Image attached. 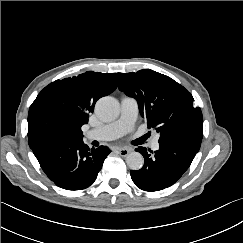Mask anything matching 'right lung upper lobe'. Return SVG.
<instances>
[{
	"instance_id": "right-lung-upper-lobe-1",
	"label": "right lung upper lobe",
	"mask_w": 243,
	"mask_h": 243,
	"mask_svg": "<svg viewBox=\"0 0 243 243\" xmlns=\"http://www.w3.org/2000/svg\"><path fill=\"white\" fill-rule=\"evenodd\" d=\"M120 77L121 73L87 71L46 86L30 106L28 139L56 134L73 141L83 140L81 127L88 122L96 101L112 93ZM54 123L59 130L53 129Z\"/></svg>"
}]
</instances>
